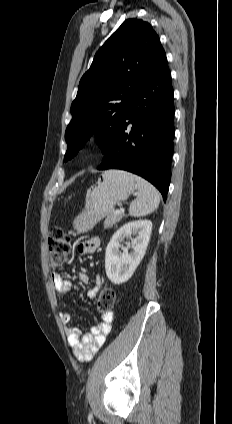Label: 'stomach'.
<instances>
[{
  "instance_id": "1",
  "label": "stomach",
  "mask_w": 232,
  "mask_h": 424,
  "mask_svg": "<svg viewBox=\"0 0 232 424\" xmlns=\"http://www.w3.org/2000/svg\"><path fill=\"white\" fill-rule=\"evenodd\" d=\"M135 188L136 181L131 173L122 170L105 171L88 190L85 208L75 219L74 229L78 233L91 230L114 210L118 202L127 200Z\"/></svg>"
}]
</instances>
